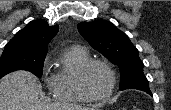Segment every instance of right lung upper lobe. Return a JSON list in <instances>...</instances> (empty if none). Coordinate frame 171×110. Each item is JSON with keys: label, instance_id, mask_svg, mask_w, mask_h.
<instances>
[{"label": "right lung upper lobe", "instance_id": "cb5924a9", "mask_svg": "<svg viewBox=\"0 0 171 110\" xmlns=\"http://www.w3.org/2000/svg\"><path fill=\"white\" fill-rule=\"evenodd\" d=\"M58 26H49L43 20L31 21L18 31L5 47H14L23 52L46 55L48 43L58 32Z\"/></svg>", "mask_w": 171, "mask_h": 110}]
</instances>
